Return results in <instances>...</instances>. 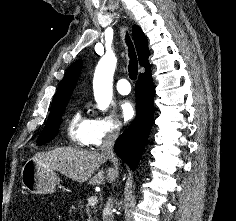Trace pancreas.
I'll use <instances>...</instances> for the list:
<instances>
[{
    "mask_svg": "<svg viewBox=\"0 0 236 221\" xmlns=\"http://www.w3.org/2000/svg\"><path fill=\"white\" fill-rule=\"evenodd\" d=\"M70 211L74 213L78 212L80 214V218L82 221H98L97 207H90L89 205H83L82 201H78L76 205H72ZM84 213L87 216V220H85L84 218Z\"/></svg>",
    "mask_w": 236,
    "mask_h": 221,
    "instance_id": "obj_1",
    "label": "pancreas"
}]
</instances>
